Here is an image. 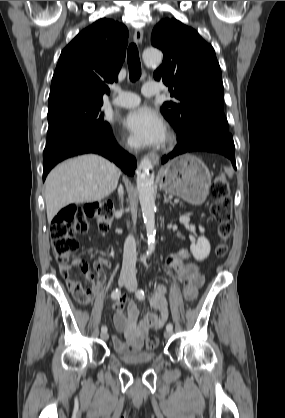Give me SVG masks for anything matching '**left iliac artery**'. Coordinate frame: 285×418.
Returning <instances> with one entry per match:
<instances>
[{"instance_id":"1","label":"left iliac artery","mask_w":285,"mask_h":418,"mask_svg":"<svg viewBox=\"0 0 285 418\" xmlns=\"http://www.w3.org/2000/svg\"><path fill=\"white\" fill-rule=\"evenodd\" d=\"M136 297H137L139 300H144V299H145L144 292H143L142 290H138V291L136 292ZM166 329H167V330H172V329H173V325H172L171 323H168V324L166 325Z\"/></svg>"}]
</instances>
